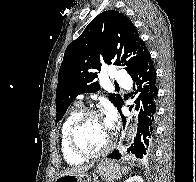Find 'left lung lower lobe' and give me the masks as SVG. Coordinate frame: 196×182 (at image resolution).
Returning a JSON list of instances; mask_svg holds the SVG:
<instances>
[{
  "mask_svg": "<svg viewBox=\"0 0 196 182\" xmlns=\"http://www.w3.org/2000/svg\"><path fill=\"white\" fill-rule=\"evenodd\" d=\"M134 81L135 93H138V100L135 102L136 109L140 108L139 123L137 128V135L134 139V143L128 148L127 152L132 153L137 158H150L153 151V144L156 132V120H157V80L156 70L154 68L151 55L145 60L141 68L131 75ZM123 101L118 107V111L121 114L123 126L125 127L126 118L121 113V107ZM133 105L131 106V108ZM108 158L120 159L121 155L119 151L115 150L108 155Z\"/></svg>",
  "mask_w": 196,
  "mask_h": 182,
  "instance_id": "obj_1",
  "label": "left lung lower lobe"
}]
</instances>
